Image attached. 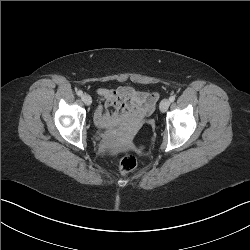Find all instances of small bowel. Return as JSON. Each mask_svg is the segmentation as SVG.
Here are the masks:
<instances>
[{
	"mask_svg": "<svg viewBox=\"0 0 250 250\" xmlns=\"http://www.w3.org/2000/svg\"><path fill=\"white\" fill-rule=\"evenodd\" d=\"M100 104L95 112L97 125L109 126L125 118L142 120L149 116L158 100V94L120 86L113 89L96 90Z\"/></svg>",
	"mask_w": 250,
	"mask_h": 250,
	"instance_id": "c3829d8e",
	"label": "small bowel"
}]
</instances>
